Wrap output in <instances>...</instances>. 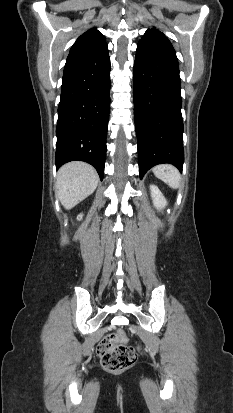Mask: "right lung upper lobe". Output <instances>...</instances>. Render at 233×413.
<instances>
[{"label":"right lung upper lobe","mask_w":233,"mask_h":413,"mask_svg":"<svg viewBox=\"0 0 233 413\" xmlns=\"http://www.w3.org/2000/svg\"><path fill=\"white\" fill-rule=\"evenodd\" d=\"M105 41V36H103L98 30H96V28H92L83 33L76 40L69 54L95 48L106 43Z\"/></svg>","instance_id":"right-lung-upper-lobe-1"}]
</instances>
